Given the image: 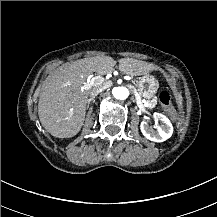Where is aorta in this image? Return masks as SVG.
Instances as JSON below:
<instances>
[{
    "label": "aorta",
    "mask_w": 217,
    "mask_h": 217,
    "mask_svg": "<svg viewBox=\"0 0 217 217\" xmlns=\"http://www.w3.org/2000/svg\"><path fill=\"white\" fill-rule=\"evenodd\" d=\"M112 95L117 100H125L129 95V90L126 87H115L112 89Z\"/></svg>",
    "instance_id": "762f6f07"
}]
</instances>
